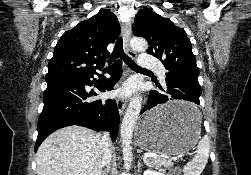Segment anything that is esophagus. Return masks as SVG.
I'll return each instance as SVG.
<instances>
[{"instance_id":"34e87169","label":"esophagus","mask_w":251,"mask_h":175,"mask_svg":"<svg viewBox=\"0 0 251 175\" xmlns=\"http://www.w3.org/2000/svg\"><path fill=\"white\" fill-rule=\"evenodd\" d=\"M122 33H123V45H124L125 52L127 53V55H129V57L136 58L137 53L134 52L130 46L131 32H130V28L128 27V25L122 26ZM122 83L123 82L121 81L119 83L118 87H120L122 85ZM116 103H117L118 111L121 115L123 113L125 105H126L124 98L122 96H117Z\"/></svg>"}]
</instances>
